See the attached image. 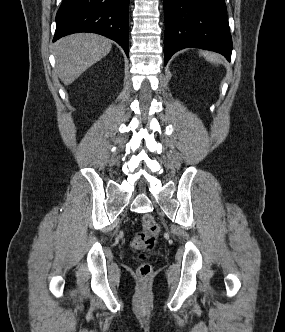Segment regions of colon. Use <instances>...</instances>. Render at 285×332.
Returning <instances> with one entry per match:
<instances>
[{
    "mask_svg": "<svg viewBox=\"0 0 285 332\" xmlns=\"http://www.w3.org/2000/svg\"><path fill=\"white\" fill-rule=\"evenodd\" d=\"M141 221L142 230L134 235L132 244L138 250V259L140 260L137 274L140 279L145 280L152 273V266L148 262L147 254L154 251L160 229L150 214H145Z\"/></svg>",
    "mask_w": 285,
    "mask_h": 332,
    "instance_id": "obj_1",
    "label": "colon"
}]
</instances>
